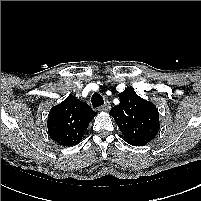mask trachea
<instances>
[{"label":"trachea","instance_id":"trachea-1","mask_svg":"<svg viewBox=\"0 0 201 201\" xmlns=\"http://www.w3.org/2000/svg\"><path fill=\"white\" fill-rule=\"evenodd\" d=\"M91 102L94 108L104 104V99L99 93H94L91 98Z\"/></svg>","mask_w":201,"mask_h":201}]
</instances>
